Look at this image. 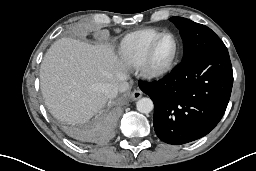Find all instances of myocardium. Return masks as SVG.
I'll use <instances>...</instances> for the list:
<instances>
[{
    "label": "myocardium",
    "mask_w": 256,
    "mask_h": 171,
    "mask_svg": "<svg viewBox=\"0 0 256 171\" xmlns=\"http://www.w3.org/2000/svg\"><path fill=\"white\" fill-rule=\"evenodd\" d=\"M166 37H171L174 41V52L170 60L163 64L157 65L154 62V53L158 46V44ZM179 42L177 37L170 32H165L160 34L157 38H155L148 47L146 55L141 63V71L142 73L149 79H159L168 75L172 69L174 68L178 56H179Z\"/></svg>",
    "instance_id": "obj_1"
}]
</instances>
